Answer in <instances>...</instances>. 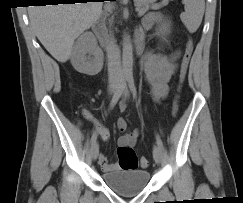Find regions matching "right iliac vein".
<instances>
[{"label": "right iliac vein", "mask_w": 243, "mask_h": 203, "mask_svg": "<svg viewBox=\"0 0 243 203\" xmlns=\"http://www.w3.org/2000/svg\"><path fill=\"white\" fill-rule=\"evenodd\" d=\"M115 92H116V88L114 86H112L110 88V94H113ZM98 153H99V146H98L97 143H94L92 145V148H91V156H92V159L95 160L97 158V156H98Z\"/></svg>", "instance_id": "63e3f726"}]
</instances>
